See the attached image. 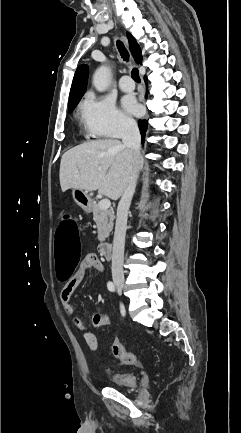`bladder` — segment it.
<instances>
[{"label": "bladder", "mask_w": 241, "mask_h": 433, "mask_svg": "<svg viewBox=\"0 0 241 433\" xmlns=\"http://www.w3.org/2000/svg\"><path fill=\"white\" fill-rule=\"evenodd\" d=\"M109 379L112 383L111 386L117 387L120 389H128L135 387L137 384V380L134 374L128 372H116L109 376Z\"/></svg>", "instance_id": "bladder-1"}]
</instances>
